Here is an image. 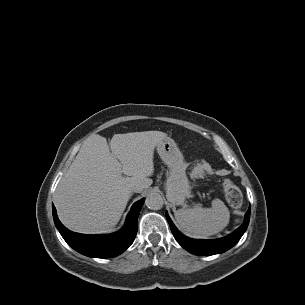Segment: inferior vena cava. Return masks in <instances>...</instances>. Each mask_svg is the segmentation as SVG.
I'll return each mask as SVG.
<instances>
[{"label": "inferior vena cava", "instance_id": "inferior-vena-cava-1", "mask_svg": "<svg viewBox=\"0 0 305 305\" xmlns=\"http://www.w3.org/2000/svg\"><path fill=\"white\" fill-rule=\"evenodd\" d=\"M132 192H141L142 188L140 186H133L130 189Z\"/></svg>", "mask_w": 305, "mask_h": 305}]
</instances>
